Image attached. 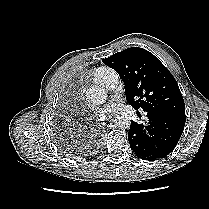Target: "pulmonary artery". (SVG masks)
I'll return each instance as SVG.
<instances>
[{"label":"pulmonary artery","instance_id":"1","mask_svg":"<svg viewBox=\"0 0 209 209\" xmlns=\"http://www.w3.org/2000/svg\"><path fill=\"white\" fill-rule=\"evenodd\" d=\"M118 81V74L112 69L107 70L100 79L96 80L97 83L106 87L107 89L116 88L118 85Z\"/></svg>","mask_w":209,"mask_h":209}]
</instances>
